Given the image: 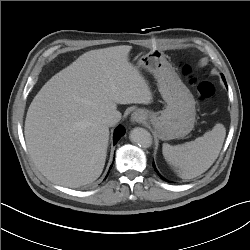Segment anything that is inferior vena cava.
<instances>
[{
  "label": "inferior vena cava",
  "instance_id": "1",
  "mask_svg": "<svg viewBox=\"0 0 250 250\" xmlns=\"http://www.w3.org/2000/svg\"><path fill=\"white\" fill-rule=\"evenodd\" d=\"M121 119V113L117 110H114L102 119V122L107 125L108 127L114 126L117 122Z\"/></svg>",
  "mask_w": 250,
  "mask_h": 250
}]
</instances>
